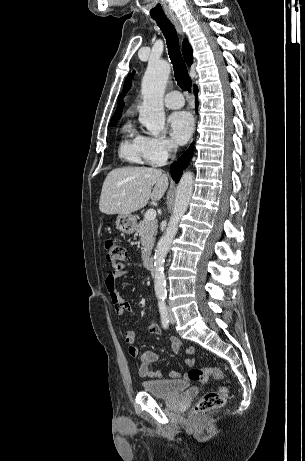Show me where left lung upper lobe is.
Masks as SVG:
<instances>
[{
	"mask_svg": "<svg viewBox=\"0 0 305 461\" xmlns=\"http://www.w3.org/2000/svg\"><path fill=\"white\" fill-rule=\"evenodd\" d=\"M131 78H132L131 75H129V76L127 77V79H126V85H125V90H127V89L130 88V86H131Z\"/></svg>",
	"mask_w": 305,
	"mask_h": 461,
	"instance_id": "5c2ea615",
	"label": "left lung upper lobe"
}]
</instances>
